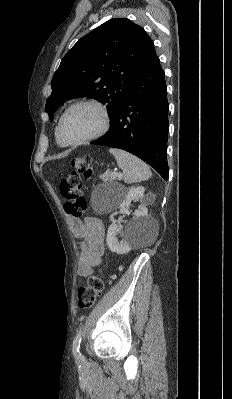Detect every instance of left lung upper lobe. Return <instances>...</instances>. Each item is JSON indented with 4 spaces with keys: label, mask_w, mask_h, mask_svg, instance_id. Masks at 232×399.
<instances>
[{
    "label": "left lung upper lobe",
    "mask_w": 232,
    "mask_h": 399,
    "mask_svg": "<svg viewBox=\"0 0 232 399\" xmlns=\"http://www.w3.org/2000/svg\"><path fill=\"white\" fill-rule=\"evenodd\" d=\"M152 40L126 18L111 19L82 37L55 72L45 111L53 113L67 100L94 98L107 104L112 124Z\"/></svg>",
    "instance_id": "obj_1"
}]
</instances>
